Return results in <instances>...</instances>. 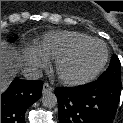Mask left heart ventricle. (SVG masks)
Here are the masks:
<instances>
[{
  "instance_id": "obj_1",
  "label": "left heart ventricle",
  "mask_w": 123,
  "mask_h": 123,
  "mask_svg": "<svg viewBox=\"0 0 123 123\" xmlns=\"http://www.w3.org/2000/svg\"><path fill=\"white\" fill-rule=\"evenodd\" d=\"M104 55L103 47L91 43L81 49L64 65V72L69 76L81 77L91 73L101 62Z\"/></svg>"
}]
</instances>
